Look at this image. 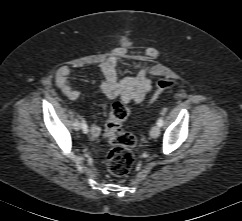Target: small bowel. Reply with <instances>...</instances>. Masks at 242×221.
Listing matches in <instances>:
<instances>
[{
  "mask_svg": "<svg viewBox=\"0 0 242 221\" xmlns=\"http://www.w3.org/2000/svg\"><path fill=\"white\" fill-rule=\"evenodd\" d=\"M126 50L120 48L115 54L103 62L99 69L104 76L100 85V92L108 99H118L126 103H141L152 89L151 79L147 75L145 65H142L135 76L119 77L117 66L120 58L126 57ZM72 70L67 66H62L56 73V84L61 92L70 100H77L81 97L80 91L75 89L70 77ZM91 134L97 137L100 134V127L91 125Z\"/></svg>",
  "mask_w": 242,
  "mask_h": 221,
  "instance_id": "1",
  "label": "small bowel"
}]
</instances>
